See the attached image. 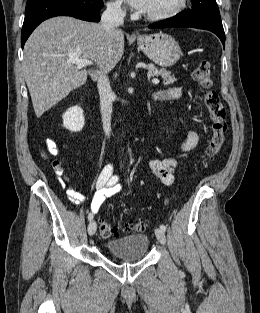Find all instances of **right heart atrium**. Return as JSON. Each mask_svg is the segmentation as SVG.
I'll use <instances>...</instances> for the list:
<instances>
[{
	"mask_svg": "<svg viewBox=\"0 0 260 313\" xmlns=\"http://www.w3.org/2000/svg\"><path fill=\"white\" fill-rule=\"evenodd\" d=\"M108 10L110 13L120 15L124 12V7L121 0H113L108 3Z\"/></svg>",
	"mask_w": 260,
	"mask_h": 313,
	"instance_id": "obj_1",
	"label": "right heart atrium"
}]
</instances>
